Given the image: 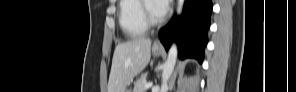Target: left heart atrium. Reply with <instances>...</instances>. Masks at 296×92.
I'll return each mask as SVG.
<instances>
[{"label":"left heart atrium","instance_id":"obj_1","mask_svg":"<svg viewBox=\"0 0 296 92\" xmlns=\"http://www.w3.org/2000/svg\"><path fill=\"white\" fill-rule=\"evenodd\" d=\"M169 4H170V1H167V0H160V1L153 2V8L155 13L159 17L164 16L169 9Z\"/></svg>","mask_w":296,"mask_h":92}]
</instances>
